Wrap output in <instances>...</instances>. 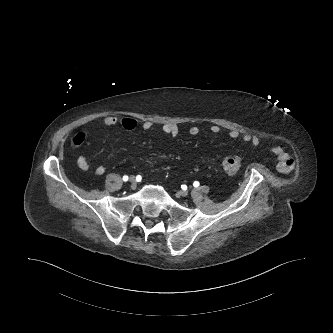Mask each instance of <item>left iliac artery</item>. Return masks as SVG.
Returning a JSON list of instances; mask_svg holds the SVG:
<instances>
[{
  "mask_svg": "<svg viewBox=\"0 0 333 333\" xmlns=\"http://www.w3.org/2000/svg\"><path fill=\"white\" fill-rule=\"evenodd\" d=\"M200 185V183L198 182V181H195L194 183H193V186L194 187H198Z\"/></svg>",
  "mask_w": 333,
  "mask_h": 333,
  "instance_id": "44dca946",
  "label": "left iliac artery"
}]
</instances>
